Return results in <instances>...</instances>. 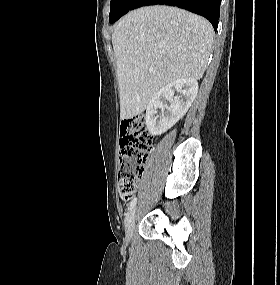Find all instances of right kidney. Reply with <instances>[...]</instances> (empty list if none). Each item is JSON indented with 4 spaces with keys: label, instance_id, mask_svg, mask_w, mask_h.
Segmentation results:
<instances>
[{
    "label": "right kidney",
    "instance_id": "right-kidney-1",
    "mask_svg": "<svg viewBox=\"0 0 280 285\" xmlns=\"http://www.w3.org/2000/svg\"><path fill=\"white\" fill-rule=\"evenodd\" d=\"M180 96L174 97V93ZM198 93V82L180 78L162 87L150 100L146 109V125L152 135H161L174 126L188 111ZM170 102L168 107L164 101ZM161 109L162 114L157 115ZM166 110V112H165Z\"/></svg>",
    "mask_w": 280,
    "mask_h": 285
}]
</instances>
